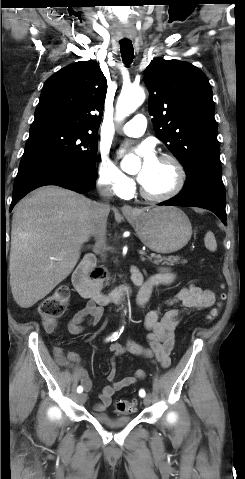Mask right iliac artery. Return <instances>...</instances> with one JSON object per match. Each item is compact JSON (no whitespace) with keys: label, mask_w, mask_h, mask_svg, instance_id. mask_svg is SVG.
<instances>
[{"label":"right iliac artery","mask_w":245,"mask_h":479,"mask_svg":"<svg viewBox=\"0 0 245 479\" xmlns=\"http://www.w3.org/2000/svg\"><path fill=\"white\" fill-rule=\"evenodd\" d=\"M123 332V327L117 331V332H114L110 337L107 338V341L111 340V341H115L119 338L120 334ZM83 391V387L82 386H78L77 388V392L78 393H81Z\"/></svg>","instance_id":"right-iliac-artery-1"}]
</instances>
